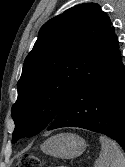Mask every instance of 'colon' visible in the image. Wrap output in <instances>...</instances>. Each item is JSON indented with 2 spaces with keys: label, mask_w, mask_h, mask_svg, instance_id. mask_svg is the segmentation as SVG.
Listing matches in <instances>:
<instances>
[{
  "label": "colon",
  "mask_w": 125,
  "mask_h": 167,
  "mask_svg": "<svg viewBox=\"0 0 125 167\" xmlns=\"http://www.w3.org/2000/svg\"><path fill=\"white\" fill-rule=\"evenodd\" d=\"M17 167H41V163L34 154L28 153L19 157Z\"/></svg>",
  "instance_id": "obj_1"
}]
</instances>
